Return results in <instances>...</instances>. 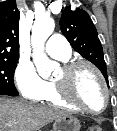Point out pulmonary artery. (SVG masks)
Segmentation results:
<instances>
[{
    "instance_id": "e3ab8cb5",
    "label": "pulmonary artery",
    "mask_w": 117,
    "mask_h": 131,
    "mask_svg": "<svg viewBox=\"0 0 117 131\" xmlns=\"http://www.w3.org/2000/svg\"><path fill=\"white\" fill-rule=\"evenodd\" d=\"M45 51L51 57L62 61L68 60L71 56L70 45L60 34H54L48 39Z\"/></svg>"
}]
</instances>
